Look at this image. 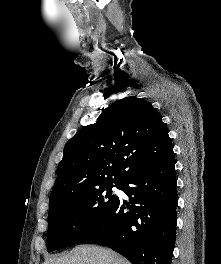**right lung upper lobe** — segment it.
Returning a JSON list of instances; mask_svg holds the SVG:
<instances>
[{"mask_svg":"<svg viewBox=\"0 0 221 264\" xmlns=\"http://www.w3.org/2000/svg\"><path fill=\"white\" fill-rule=\"evenodd\" d=\"M172 154L168 130L156 109L135 96L118 100L66 143L49 211L72 194L122 183Z\"/></svg>","mask_w":221,"mask_h":264,"instance_id":"right-lung-upper-lobe-1","label":"right lung upper lobe"}]
</instances>
